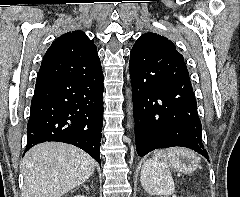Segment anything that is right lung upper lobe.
Returning <instances> with one entry per match:
<instances>
[{"label": "right lung upper lobe", "mask_w": 240, "mask_h": 197, "mask_svg": "<svg viewBox=\"0 0 240 197\" xmlns=\"http://www.w3.org/2000/svg\"><path fill=\"white\" fill-rule=\"evenodd\" d=\"M101 69L97 48L83 31L58 37L47 50L36 81L55 77H79Z\"/></svg>", "instance_id": "cb5924a9"}]
</instances>
